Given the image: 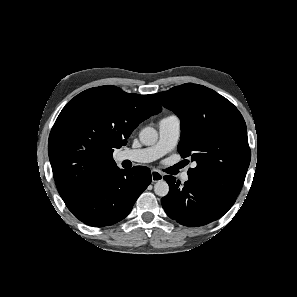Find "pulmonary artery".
I'll list each match as a JSON object with an SVG mask.
<instances>
[{
    "label": "pulmonary artery",
    "instance_id": "e3ab8cb5",
    "mask_svg": "<svg viewBox=\"0 0 297 297\" xmlns=\"http://www.w3.org/2000/svg\"><path fill=\"white\" fill-rule=\"evenodd\" d=\"M181 132L180 119L171 115L159 122V139L153 146L142 149H131L120 153L119 160H129L138 163H149L162 157L178 143ZM183 182L189 179L187 172L181 176Z\"/></svg>",
    "mask_w": 297,
    "mask_h": 297
}]
</instances>
